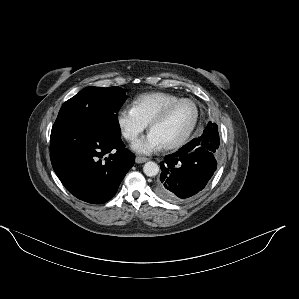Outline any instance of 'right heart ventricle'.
<instances>
[{"label":"right heart ventricle","instance_id":"obj_1","mask_svg":"<svg viewBox=\"0 0 299 299\" xmlns=\"http://www.w3.org/2000/svg\"><path fill=\"white\" fill-rule=\"evenodd\" d=\"M180 99L179 96L166 92H150L137 96L132 101V109L146 123L169 103Z\"/></svg>","mask_w":299,"mask_h":299}]
</instances>
